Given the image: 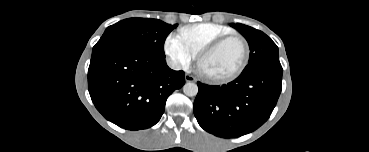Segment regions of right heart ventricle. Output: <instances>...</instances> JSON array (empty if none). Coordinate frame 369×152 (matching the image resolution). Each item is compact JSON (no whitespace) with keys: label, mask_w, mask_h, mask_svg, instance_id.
<instances>
[{"label":"right heart ventricle","mask_w":369,"mask_h":152,"mask_svg":"<svg viewBox=\"0 0 369 152\" xmlns=\"http://www.w3.org/2000/svg\"><path fill=\"white\" fill-rule=\"evenodd\" d=\"M233 33L232 28L212 22L195 23L180 29L181 37L197 55L211 42Z\"/></svg>","instance_id":"right-heart-ventricle-1"}]
</instances>
